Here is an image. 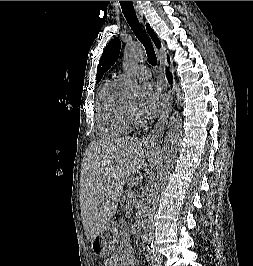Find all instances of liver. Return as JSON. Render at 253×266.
I'll return each instance as SVG.
<instances>
[{
  "instance_id": "6515ba94",
  "label": "liver",
  "mask_w": 253,
  "mask_h": 266,
  "mask_svg": "<svg viewBox=\"0 0 253 266\" xmlns=\"http://www.w3.org/2000/svg\"><path fill=\"white\" fill-rule=\"evenodd\" d=\"M153 145L134 137L97 140L85 151L81 172V217L88 241L101 233L117 212L123 187L150 156Z\"/></svg>"
}]
</instances>
